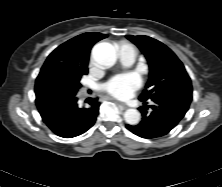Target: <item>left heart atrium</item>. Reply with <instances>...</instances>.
<instances>
[{"label":"left heart atrium","instance_id":"obj_1","mask_svg":"<svg viewBox=\"0 0 222 187\" xmlns=\"http://www.w3.org/2000/svg\"><path fill=\"white\" fill-rule=\"evenodd\" d=\"M140 86V79L134 74L119 75L106 85V91L120 99L129 98Z\"/></svg>","mask_w":222,"mask_h":187}]
</instances>
